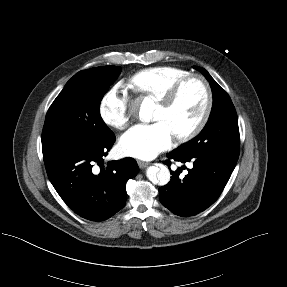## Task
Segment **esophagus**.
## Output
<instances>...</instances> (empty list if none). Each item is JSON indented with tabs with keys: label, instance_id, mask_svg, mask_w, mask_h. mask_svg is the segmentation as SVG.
Here are the masks:
<instances>
[{
	"label": "esophagus",
	"instance_id": "obj_1",
	"mask_svg": "<svg viewBox=\"0 0 287 287\" xmlns=\"http://www.w3.org/2000/svg\"><path fill=\"white\" fill-rule=\"evenodd\" d=\"M138 162V165H139V167L141 168V169H143V168H146L148 165H150L149 163H147V162H143V161H137Z\"/></svg>",
	"mask_w": 287,
	"mask_h": 287
}]
</instances>
